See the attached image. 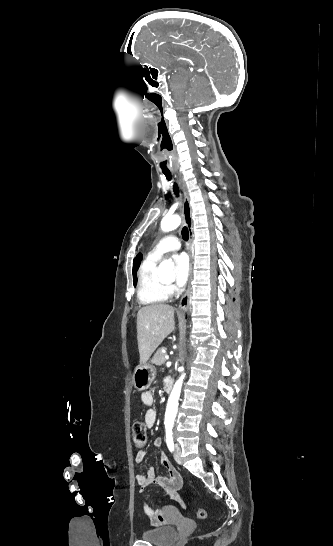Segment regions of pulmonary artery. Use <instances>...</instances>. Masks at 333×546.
<instances>
[{
    "label": "pulmonary artery",
    "instance_id": "e3ab8cb5",
    "mask_svg": "<svg viewBox=\"0 0 333 546\" xmlns=\"http://www.w3.org/2000/svg\"><path fill=\"white\" fill-rule=\"evenodd\" d=\"M180 247H181L180 241L175 236L168 235L159 241V243L149 253L148 257L151 259L158 260L165 253L170 251H176L180 249Z\"/></svg>",
    "mask_w": 333,
    "mask_h": 546
}]
</instances>
